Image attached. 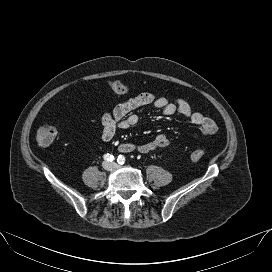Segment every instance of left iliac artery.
Returning <instances> with one entry per match:
<instances>
[{
    "label": "left iliac artery",
    "mask_w": 272,
    "mask_h": 272,
    "mask_svg": "<svg viewBox=\"0 0 272 272\" xmlns=\"http://www.w3.org/2000/svg\"><path fill=\"white\" fill-rule=\"evenodd\" d=\"M117 162L119 163V164H124L125 163V157L124 156H122V155H119L118 156V159H117Z\"/></svg>",
    "instance_id": "obj_1"
}]
</instances>
